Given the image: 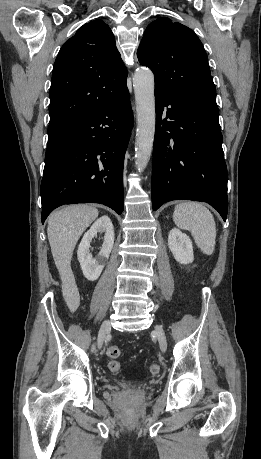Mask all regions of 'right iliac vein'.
<instances>
[{
    "instance_id": "obj_1",
    "label": "right iliac vein",
    "mask_w": 261,
    "mask_h": 459,
    "mask_svg": "<svg viewBox=\"0 0 261 459\" xmlns=\"http://www.w3.org/2000/svg\"><path fill=\"white\" fill-rule=\"evenodd\" d=\"M111 329V323L109 320H105L101 327H100V330H99V333H98V341H97V345H98V348L100 349L103 345V342L105 340V337L106 335L109 333Z\"/></svg>"
}]
</instances>
